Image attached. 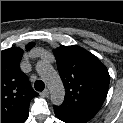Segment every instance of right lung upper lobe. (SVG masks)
Returning a JSON list of instances; mask_svg holds the SVG:
<instances>
[{
	"mask_svg": "<svg viewBox=\"0 0 123 123\" xmlns=\"http://www.w3.org/2000/svg\"><path fill=\"white\" fill-rule=\"evenodd\" d=\"M35 43L26 45V50ZM23 50L1 51V123H24L29 115V101L37 96L27 76L20 70Z\"/></svg>",
	"mask_w": 123,
	"mask_h": 123,
	"instance_id": "right-lung-upper-lobe-1",
	"label": "right lung upper lobe"
}]
</instances>
